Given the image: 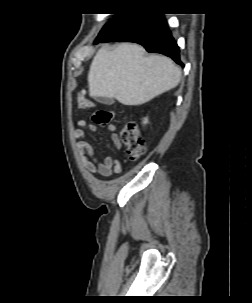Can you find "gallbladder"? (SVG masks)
<instances>
[{
  "instance_id": "bac80fb5",
  "label": "gallbladder",
  "mask_w": 252,
  "mask_h": 303,
  "mask_svg": "<svg viewBox=\"0 0 252 303\" xmlns=\"http://www.w3.org/2000/svg\"><path fill=\"white\" fill-rule=\"evenodd\" d=\"M95 99L99 103L106 104V105H112L115 102L113 98H107V97H96Z\"/></svg>"
}]
</instances>
